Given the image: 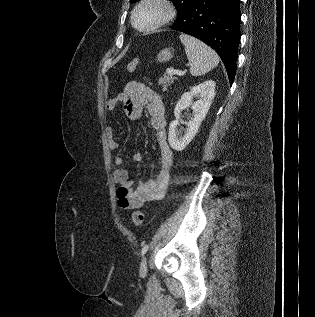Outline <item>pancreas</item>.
Wrapping results in <instances>:
<instances>
[{"label": "pancreas", "instance_id": "pancreas-1", "mask_svg": "<svg viewBox=\"0 0 315 317\" xmlns=\"http://www.w3.org/2000/svg\"><path fill=\"white\" fill-rule=\"evenodd\" d=\"M176 78L173 77L169 71H167L162 78H160L159 83L163 85V90H167V86L170 85Z\"/></svg>", "mask_w": 315, "mask_h": 317}]
</instances>
